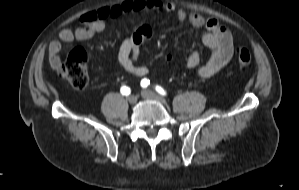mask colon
<instances>
[{
	"label": "colon",
	"mask_w": 299,
	"mask_h": 190,
	"mask_svg": "<svg viewBox=\"0 0 299 190\" xmlns=\"http://www.w3.org/2000/svg\"><path fill=\"white\" fill-rule=\"evenodd\" d=\"M236 57L237 63L241 68H246L251 63V53L247 48H238ZM59 74L75 89H85L89 84L87 55L85 51L79 47L71 49L67 58L59 67Z\"/></svg>",
	"instance_id": "obj_1"
}]
</instances>
